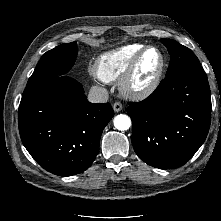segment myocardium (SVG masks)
I'll list each match as a JSON object with an SVG mask.
<instances>
[{"instance_id":"myocardium-1","label":"myocardium","mask_w":221,"mask_h":221,"mask_svg":"<svg viewBox=\"0 0 221 221\" xmlns=\"http://www.w3.org/2000/svg\"><path fill=\"white\" fill-rule=\"evenodd\" d=\"M156 50L159 55V65L156 72L150 78V80L143 84L138 85L135 82V76L138 70L140 61L145 53L149 50ZM165 69V57L161 49L157 46L147 45L144 46L133 58L125 73L119 80L120 92L128 98L141 100L150 96L159 86L162 75Z\"/></svg>"}]
</instances>
